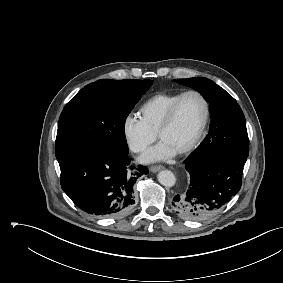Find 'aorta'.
Returning a JSON list of instances; mask_svg holds the SVG:
<instances>
[{
    "label": "aorta",
    "instance_id": "1",
    "mask_svg": "<svg viewBox=\"0 0 283 283\" xmlns=\"http://www.w3.org/2000/svg\"><path fill=\"white\" fill-rule=\"evenodd\" d=\"M158 181L166 187H172L176 183L174 174L169 170H162L158 173Z\"/></svg>",
    "mask_w": 283,
    "mask_h": 283
}]
</instances>
